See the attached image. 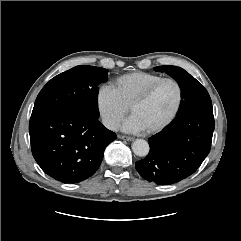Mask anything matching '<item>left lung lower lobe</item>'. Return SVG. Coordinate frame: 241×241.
<instances>
[{"instance_id":"left-lung-lower-lobe-1","label":"left lung lower lobe","mask_w":241,"mask_h":241,"mask_svg":"<svg viewBox=\"0 0 241 241\" xmlns=\"http://www.w3.org/2000/svg\"><path fill=\"white\" fill-rule=\"evenodd\" d=\"M214 127L212 108L172 121L149 138V154L135 164L138 173L159 185L192 175L210 152Z\"/></svg>"}]
</instances>
